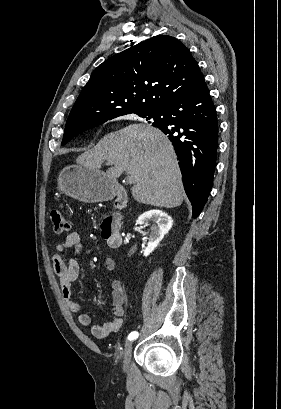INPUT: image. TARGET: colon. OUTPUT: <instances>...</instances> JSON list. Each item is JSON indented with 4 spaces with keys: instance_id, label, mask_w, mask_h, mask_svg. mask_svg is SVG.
Returning a JSON list of instances; mask_svg holds the SVG:
<instances>
[{
    "instance_id": "obj_1",
    "label": "colon",
    "mask_w": 281,
    "mask_h": 409,
    "mask_svg": "<svg viewBox=\"0 0 281 409\" xmlns=\"http://www.w3.org/2000/svg\"><path fill=\"white\" fill-rule=\"evenodd\" d=\"M51 221L54 227V230L57 234H65L71 228V221L69 215L60 210L51 211Z\"/></svg>"
}]
</instances>
